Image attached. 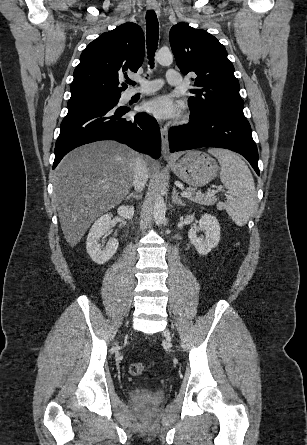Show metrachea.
<instances>
[{
    "label": "trachea",
    "mask_w": 307,
    "mask_h": 445,
    "mask_svg": "<svg viewBox=\"0 0 307 445\" xmlns=\"http://www.w3.org/2000/svg\"><path fill=\"white\" fill-rule=\"evenodd\" d=\"M159 39V23L156 13L153 10H148L146 13V44L149 64L154 68V56ZM126 83L135 85L136 82L128 80Z\"/></svg>",
    "instance_id": "obj_1"
}]
</instances>
